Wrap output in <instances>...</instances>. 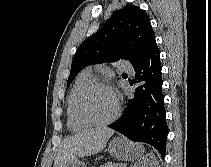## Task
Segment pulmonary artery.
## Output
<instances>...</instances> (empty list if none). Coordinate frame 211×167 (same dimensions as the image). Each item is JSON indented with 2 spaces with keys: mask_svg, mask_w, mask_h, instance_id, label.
<instances>
[{
  "mask_svg": "<svg viewBox=\"0 0 211 167\" xmlns=\"http://www.w3.org/2000/svg\"><path fill=\"white\" fill-rule=\"evenodd\" d=\"M119 65H120V67H121L122 69H124V70H130V65H129V63H128L127 61H125V60L120 61V62H119Z\"/></svg>",
  "mask_w": 211,
  "mask_h": 167,
  "instance_id": "e3ab8cb5",
  "label": "pulmonary artery"
}]
</instances>
